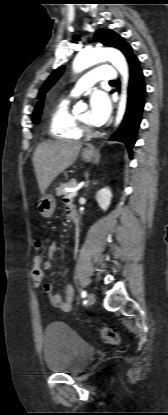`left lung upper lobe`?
Here are the masks:
<instances>
[{"label":"left lung upper lobe","mask_w":168,"mask_h":415,"mask_svg":"<svg viewBox=\"0 0 168 415\" xmlns=\"http://www.w3.org/2000/svg\"><path fill=\"white\" fill-rule=\"evenodd\" d=\"M95 41H100L105 46L115 47L118 48L123 52L126 56L127 60L129 61L134 55L132 53L131 46L125 42V40L116 34L112 30L108 29H99L95 33ZM64 71V66L59 67L56 69L50 77L45 81L43 84L40 92L39 98H42L44 94L49 90V88L60 78Z\"/></svg>","instance_id":"obj_1"}]
</instances>
